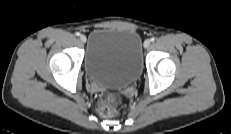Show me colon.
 Here are the masks:
<instances>
[{"mask_svg": "<svg viewBox=\"0 0 231 134\" xmlns=\"http://www.w3.org/2000/svg\"><path fill=\"white\" fill-rule=\"evenodd\" d=\"M123 98L114 92L103 93L97 101V110L104 117H114L120 110Z\"/></svg>", "mask_w": 231, "mask_h": 134, "instance_id": "5ec220e1", "label": "colon"}]
</instances>
